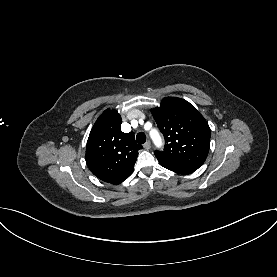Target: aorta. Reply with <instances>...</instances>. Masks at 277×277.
<instances>
[{"label": "aorta", "instance_id": "1", "mask_svg": "<svg viewBox=\"0 0 277 277\" xmlns=\"http://www.w3.org/2000/svg\"><path fill=\"white\" fill-rule=\"evenodd\" d=\"M151 137H152V139H153V141L155 142L156 145L159 146L161 144V138H160L158 132L152 131L151 132Z\"/></svg>", "mask_w": 277, "mask_h": 277}]
</instances>
